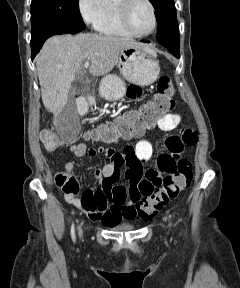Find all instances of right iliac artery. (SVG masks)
Here are the masks:
<instances>
[{
  "mask_svg": "<svg viewBox=\"0 0 240 288\" xmlns=\"http://www.w3.org/2000/svg\"><path fill=\"white\" fill-rule=\"evenodd\" d=\"M71 237H72V240L75 242V229H74V224L72 225L71 227Z\"/></svg>",
  "mask_w": 240,
  "mask_h": 288,
  "instance_id": "right-iliac-artery-1",
  "label": "right iliac artery"
}]
</instances>
